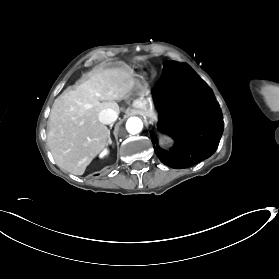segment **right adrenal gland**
I'll list each match as a JSON object with an SVG mask.
<instances>
[{
    "label": "right adrenal gland",
    "instance_id": "obj_1",
    "mask_svg": "<svg viewBox=\"0 0 279 279\" xmlns=\"http://www.w3.org/2000/svg\"><path fill=\"white\" fill-rule=\"evenodd\" d=\"M108 143H109V144H112V140H111V138H110V130H108Z\"/></svg>",
    "mask_w": 279,
    "mask_h": 279
}]
</instances>
